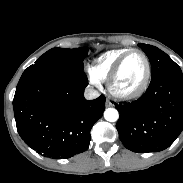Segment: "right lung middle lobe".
Instances as JSON below:
<instances>
[{
    "mask_svg": "<svg viewBox=\"0 0 183 183\" xmlns=\"http://www.w3.org/2000/svg\"><path fill=\"white\" fill-rule=\"evenodd\" d=\"M87 54V48H52L40 56L34 64L29 66L23 72L22 76L48 73L64 69H83V60Z\"/></svg>",
    "mask_w": 183,
    "mask_h": 183,
    "instance_id": "right-lung-middle-lobe-1",
    "label": "right lung middle lobe"
}]
</instances>
